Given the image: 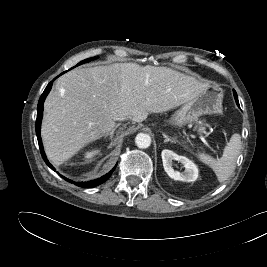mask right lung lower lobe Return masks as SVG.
I'll use <instances>...</instances> for the list:
<instances>
[{"instance_id":"1","label":"right lung lower lobe","mask_w":267,"mask_h":267,"mask_svg":"<svg viewBox=\"0 0 267 267\" xmlns=\"http://www.w3.org/2000/svg\"><path fill=\"white\" fill-rule=\"evenodd\" d=\"M52 87V82H50L46 89L44 90L43 94L41 95L40 99H39V102H38V107H37V119H36V135H37V138H38V143H39V147H40V151H41V155L44 159V161L46 162V164L52 169L55 171V168L49 163V161L47 160L46 158V155H45V152L43 150V145H42V141H41V136H40V128H41V120H42V116H43V103H44V100L46 98V96L48 95L50 89ZM117 166V165H116ZM116 166L109 172L107 173L106 175L96 179V180H93V181H88V182H78L76 183L77 186L79 187H84V188H89V187H95L97 185H100L102 184L103 182H105L110 176L111 174L113 173L114 169L116 168ZM60 175V174H59ZM61 176V175H60ZM63 177V176H61ZM66 181L68 182H72V180H69L65 177H63Z\"/></svg>"}]
</instances>
